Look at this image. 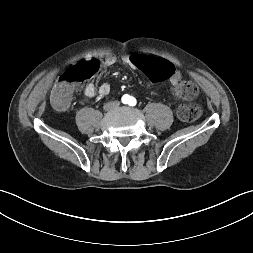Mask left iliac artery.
I'll return each mask as SVG.
<instances>
[{
	"instance_id": "1",
	"label": "left iliac artery",
	"mask_w": 253,
	"mask_h": 253,
	"mask_svg": "<svg viewBox=\"0 0 253 253\" xmlns=\"http://www.w3.org/2000/svg\"><path fill=\"white\" fill-rule=\"evenodd\" d=\"M136 103H137V101H136V99H135L134 97H130V98H129L128 104H129L130 106H135Z\"/></svg>"
}]
</instances>
